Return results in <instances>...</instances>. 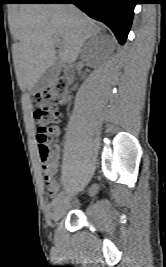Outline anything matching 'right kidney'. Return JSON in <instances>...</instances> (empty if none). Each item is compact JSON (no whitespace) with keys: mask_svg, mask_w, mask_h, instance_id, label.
<instances>
[{"mask_svg":"<svg viewBox=\"0 0 166 267\" xmlns=\"http://www.w3.org/2000/svg\"><path fill=\"white\" fill-rule=\"evenodd\" d=\"M99 45H100V42H94L92 39L85 50L84 56L85 57L95 56V53L98 50Z\"/></svg>","mask_w":166,"mask_h":267,"instance_id":"obj_1","label":"right kidney"}]
</instances>
